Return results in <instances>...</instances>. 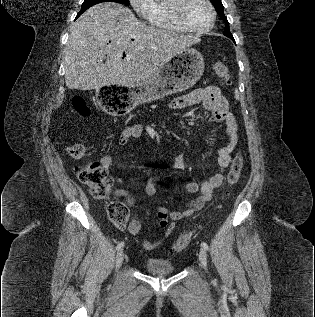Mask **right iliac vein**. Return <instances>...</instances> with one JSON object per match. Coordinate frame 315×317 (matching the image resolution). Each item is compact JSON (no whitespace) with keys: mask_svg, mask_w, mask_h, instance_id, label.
<instances>
[{"mask_svg":"<svg viewBox=\"0 0 315 317\" xmlns=\"http://www.w3.org/2000/svg\"><path fill=\"white\" fill-rule=\"evenodd\" d=\"M124 260V251L123 249L119 250L116 255V269H118Z\"/></svg>","mask_w":315,"mask_h":317,"instance_id":"1","label":"right iliac vein"}]
</instances>
